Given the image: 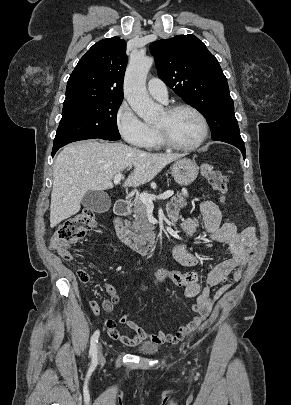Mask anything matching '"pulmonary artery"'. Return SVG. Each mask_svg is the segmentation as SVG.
Instances as JSON below:
<instances>
[{"instance_id":"pulmonary-artery-1","label":"pulmonary artery","mask_w":291,"mask_h":405,"mask_svg":"<svg viewBox=\"0 0 291 405\" xmlns=\"http://www.w3.org/2000/svg\"><path fill=\"white\" fill-rule=\"evenodd\" d=\"M147 89L152 97L162 102L167 101L168 98L167 87L161 79L156 77L149 79L147 83Z\"/></svg>"}]
</instances>
